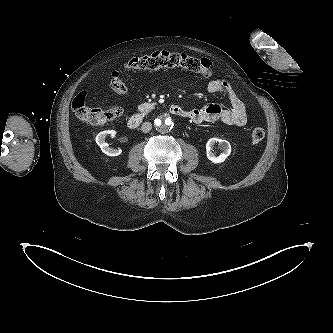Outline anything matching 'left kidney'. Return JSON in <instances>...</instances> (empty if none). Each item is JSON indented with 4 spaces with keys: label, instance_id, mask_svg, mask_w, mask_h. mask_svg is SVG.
<instances>
[{
    "label": "left kidney",
    "instance_id": "left-kidney-1",
    "mask_svg": "<svg viewBox=\"0 0 333 333\" xmlns=\"http://www.w3.org/2000/svg\"><path fill=\"white\" fill-rule=\"evenodd\" d=\"M218 143L219 148L222 150V153L219 156H216L212 152V148L214 145ZM231 145L227 140L219 139V138H210L206 143V154L207 158L215 164L222 163L226 160V158L231 154Z\"/></svg>",
    "mask_w": 333,
    "mask_h": 333
}]
</instances>
